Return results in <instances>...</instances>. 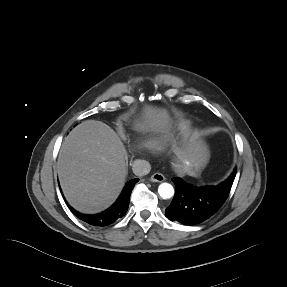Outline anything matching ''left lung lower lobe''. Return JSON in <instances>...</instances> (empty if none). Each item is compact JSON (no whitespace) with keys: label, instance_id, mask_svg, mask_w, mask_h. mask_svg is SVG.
Wrapping results in <instances>:
<instances>
[{"label":"left lung lower lobe","instance_id":"left-lung-lower-lobe-1","mask_svg":"<svg viewBox=\"0 0 287 287\" xmlns=\"http://www.w3.org/2000/svg\"><path fill=\"white\" fill-rule=\"evenodd\" d=\"M237 169L230 177L218 186L196 187L183 182L180 178H172L176 193L165 215L171 221L185 225H194L208 219L222 206L227 198Z\"/></svg>","mask_w":287,"mask_h":287}]
</instances>
